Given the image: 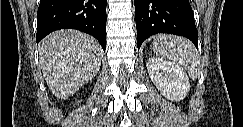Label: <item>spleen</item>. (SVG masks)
Here are the masks:
<instances>
[{"mask_svg":"<svg viewBox=\"0 0 243 127\" xmlns=\"http://www.w3.org/2000/svg\"><path fill=\"white\" fill-rule=\"evenodd\" d=\"M153 45L157 56L181 64L193 80L197 78L198 54L189 40L176 36L161 35L155 39Z\"/></svg>","mask_w":243,"mask_h":127,"instance_id":"obj_1","label":"spleen"}]
</instances>
